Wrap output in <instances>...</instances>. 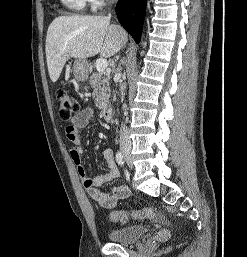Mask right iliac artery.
<instances>
[{
    "label": "right iliac artery",
    "instance_id": "right-iliac-artery-1",
    "mask_svg": "<svg viewBox=\"0 0 247 257\" xmlns=\"http://www.w3.org/2000/svg\"><path fill=\"white\" fill-rule=\"evenodd\" d=\"M116 161H117V163L120 165V166H124V159H123V155L121 154V152H117L116 153Z\"/></svg>",
    "mask_w": 247,
    "mask_h": 257
}]
</instances>
